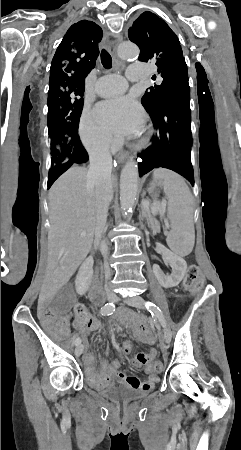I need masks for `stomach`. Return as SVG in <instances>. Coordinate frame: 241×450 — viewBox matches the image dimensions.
<instances>
[{"label": "stomach", "instance_id": "0dacf381", "mask_svg": "<svg viewBox=\"0 0 241 450\" xmlns=\"http://www.w3.org/2000/svg\"><path fill=\"white\" fill-rule=\"evenodd\" d=\"M158 186H159V182L157 180L151 181L148 186V191H149L150 195L152 196V198H154V199L158 196Z\"/></svg>", "mask_w": 241, "mask_h": 450}]
</instances>
